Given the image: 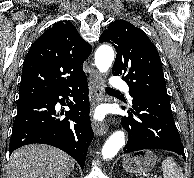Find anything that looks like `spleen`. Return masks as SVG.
<instances>
[{"label": "spleen", "instance_id": "obj_1", "mask_svg": "<svg viewBox=\"0 0 194 178\" xmlns=\"http://www.w3.org/2000/svg\"><path fill=\"white\" fill-rule=\"evenodd\" d=\"M164 178H184L183 169L177 165L172 157H167L161 165Z\"/></svg>", "mask_w": 194, "mask_h": 178}]
</instances>
